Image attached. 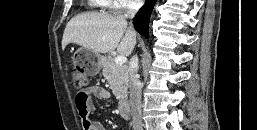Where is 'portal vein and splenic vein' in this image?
<instances>
[{
  "instance_id": "18ae733b",
  "label": "portal vein and splenic vein",
  "mask_w": 257,
  "mask_h": 130,
  "mask_svg": "<svg viewBox=\"0 0 257 130\" xmlns=\"http://www.w3.org/2000/svg\"><path fill=\"white\" fill-rule=\"evenodd\" d=\"M127 58L125 56H117L115 58V63L118 65H123L126 62Z\"/></svg>"
}]
</instances>
